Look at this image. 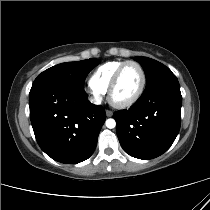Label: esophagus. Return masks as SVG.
Listing matches in <instances>:
<instances>
[{
    "mask_svg": "<svg viewBox=\"0 0 210 210\" xmlns=\"http://www.w3.org/2000/svg\"><path fill=\"white\" fill-rule=\"evenodd\" d=\"M106 116L107 117H112L113 116V112L111 110H106Z\"/></svg>",
    "mask_w": 210,
    "mask_h": 210,
    "instance_id": "34e87169",
    "label": "esophagus"
}]
</instances>
